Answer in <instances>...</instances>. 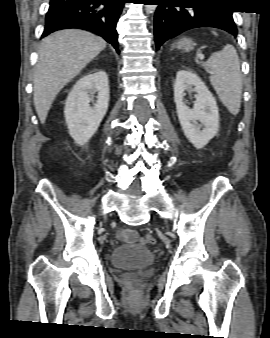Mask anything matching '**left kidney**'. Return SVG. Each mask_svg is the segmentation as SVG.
I'll return each mask as SVG.
<instances>
[{
    "instance_id": "5707ae66",
    "label": "left kidney",
    "mask_w": 270,
    "mask_h": 338,
    "mask_svg": "<svg viewBox=\"0 0 270 338\" xmlns=\"http://www.w3.org/2000/svg\"><path fill=\"white\" fill-rule=\"evenodd\" d=\"M192 86L197 95L194 106L190 109L183 98L184 92L192 89ZM174 101L185 136L197 149L203 148L219 128L218 107L212 93L193 71L179 70L174 83Z\"/></svg>"
}]
</instances>
